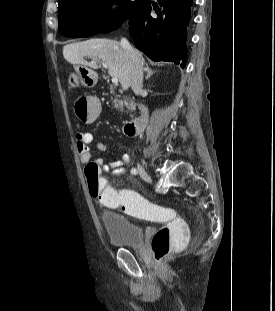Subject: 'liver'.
Listing matches in <instances>:
<instances>
[{
	"mask_svg": "<svg viewBox=\"0 0 275 311\" xmlns=\"http://www.w3.org/2000/svg\"><path fill=\"white\" fill-rule=\"evenodd\" d=\"M141 56V53L135 50ZM64 59L73 65L96 68L97 65L87 62L85 57L102 60L112 77H117L123 90L131 86L132 74L130 60L120 43L109 39H90L84 42L65 45Z\"/></svg>",
	"mask_w": 275,
	"mask_h": 311,
	"instance_id": "obj_1",
	"label": "liver"
}]
</instances>
